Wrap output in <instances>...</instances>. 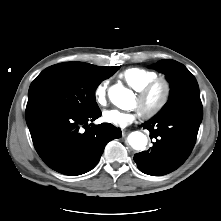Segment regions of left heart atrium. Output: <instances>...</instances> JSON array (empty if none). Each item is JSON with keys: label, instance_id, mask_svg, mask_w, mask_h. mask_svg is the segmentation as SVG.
Listing matches in <instances>:
<instances>
[{"label": "left heart atrium", "instance_id": "39dd6f15", "mask_svg": "<svg viewBox=\"0 0 221 221\" xmlns=\"http://www.w3.org/2000/svg\"><path fill=\"white\" fill-rule=\"evenodd\" d=\"M137 117V111L125 112L117 109L107 110L103 114L104 121L122 128L134 122Z\"/></svg>", "mask_w": 221, "mask_h": 221}]
</instances>
